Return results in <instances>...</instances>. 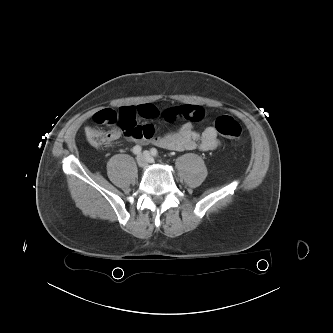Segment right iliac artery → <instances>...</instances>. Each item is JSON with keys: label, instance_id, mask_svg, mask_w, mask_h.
I'll return each instance as SVG.
<instances>
[{"label": "right iliac artery", "instance_id": "right-iliac-artery-1", "mask_svg": "<svg viewBox=\"0 0 333 333\" xmlns=\"http://www.w3.org/2000/svg\"><path fill=\"white\" fill-rule=\"evenodd\" d=\"M132 150H133V153H134V154H140L142 148H141L139 145H136V146L133 147Z\"/></svg>", "mask_w": 333, "mask_h": 333}]
</instances>
